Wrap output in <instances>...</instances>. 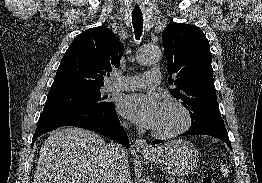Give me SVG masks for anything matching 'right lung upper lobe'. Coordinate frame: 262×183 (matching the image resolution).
Returning a JSON list of instances; mask_svg holds the SVG:
<instances>
[{
    "label": "right lung upper lobe",
    "instance_id": "right-lung-upper-lobe-1",
    "mask_svg": "<svg viewBox=\"0 0 262 183\" xmlns=\"http://www.w3.org/2000/svg\"><path fill=\"white\" fill-rule=\"evenodd\" d=\"M123 49L107 27L84 31L66 50L49 92L102 87L104 77L120 66Z\"/></svg>",
    "mask_w": 262,
    "mask_h": 183
}]
</instances>
